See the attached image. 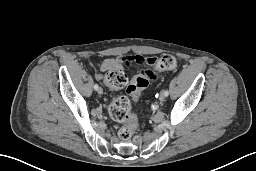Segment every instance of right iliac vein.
I'll return each mask as SVG.
<instances>
[{"mask_svg": "<svg viewBox=\"0 0 256 171\" xmlns=\"http://www.w3.org/2000/svg\"><path fill=\"white\" fill-rule=\"evenodd\" d=\"M98 93H99V94H102V93H103V89H102V88H99V89H98Z\"/></svg>", "mask_w": 256, "mask_h": 171, "instance_id": "63e3f726", "label": "right iliac vein"}]
</instances>
